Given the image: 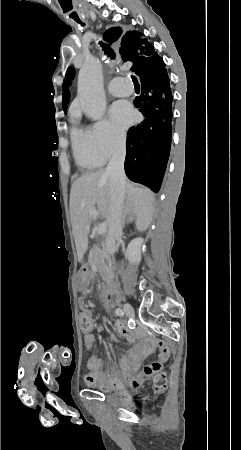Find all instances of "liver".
Returning <instances> with one entry per match:
<instances>
[{
  "mask_svg": "<svg viewBox=\"0 0 241 450\" xmlns=\"http://www.w3.org/2000/svg\"><path fill=\"white\" fill-rule=\"evenodd\" d=\"M125 214L135 216L136 230L145 232L153 220L154 194L148 188H136L129 180L125 182ZM70 216L77 250L78 262L88 248V234L91 218H105L106 224L111 222V192L109 176L105 170L85 174L72 184L70 192Z\"/></svg>",
  "mask_w": 241,
  "mask_h": 450,
  "instance_id": "6515ba94",
  "label": "liver"
}]
</instances>
